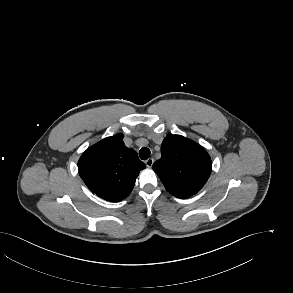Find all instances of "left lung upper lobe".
Listing matches in <instances>:
<instances>
[{
    "mask_svg": "<svg viewBox=\"0 0 293 293\" xmlns=\"http://www.w3.org/2000/svg\"><path fill=\"white\" fill-rule=\"evenodd\" d=\"M161 158L153 164L166 190L178 198L196 194L207 182L211 158L196 142L169 134L161 145Z\"/></svg>",
    "mask_w": 293,
    "mask_h": 293,
    "instance_id": "5c2ea615",
    "label": "left lung upper lobe"
}]
</instances>
